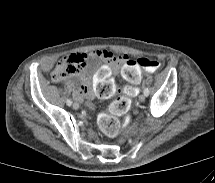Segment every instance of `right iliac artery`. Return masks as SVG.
<instances>
[{
  "label": "right iliac artery",
  "mask_w": 215,
  "mask_h": 183,
  "mask_svg": "<svg viewBox=\"0 0 215 183\" xmlns=\"http://www.w3.org/2000/svg\"><path fill=\"white\" fill-rule=\"evenodd\" d=\"M66 104H67L68 106H71V105H72V101H71L70 99H68V100L66 101Z\"/></svg>",
  "instance_id": "right-iliac-artery-1"
}]
</instances>
